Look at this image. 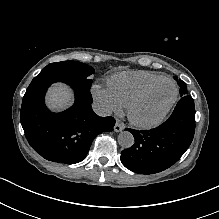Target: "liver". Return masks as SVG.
<instances>
[{
    "label": "liver",
    "instance_id": "1",
    "mask_svg": "<svg viewBox=\"0 0 219 219\" xmlns=\"http://www.w3.org/2000/svg\"><path fill=\"white\" fill-rule=\"evenodd\" d=\"M73 94L71 90L62 83L54 84L46 95V104L53 111H60L72 104Z\"/></svg>",
    "mask_w": 219,
    "mask_h": 219
}]
</instances>
